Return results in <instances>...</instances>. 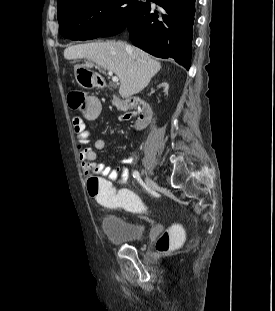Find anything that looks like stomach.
Returning a JSON list of instances; mask_svg holds the SVG:
<instances>
[{
	"label": "stomach",
	"instance_id": "1",
	"mask_svg": "<svg viewBox=\"0 0 275 311\" xmlns=\"http://www.w3.org/2000/svg\"><path fill=\"white\" fill-rule=\"evenodd\" d=\"M74 73L77 83L83 88L90 89L97 86V84L95 83V78L97 77V75L89 68L77 67L75 68Z\"/></svg>",
	"mask_w": 275,
	"mask_h": 311
}]
</instances>
